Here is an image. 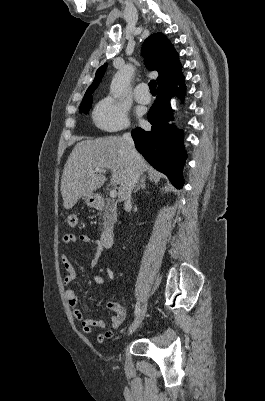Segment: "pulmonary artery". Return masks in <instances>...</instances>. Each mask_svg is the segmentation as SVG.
<instances>
[{
    "mask_svg": "<svg viewBox=\"0 0 265 401\" xmlns=\"http://www.w3.org/2000/svg\"><path fill=\"white\" fill-rule=\"evenodd\" d=\"M144 83L138 84L135 92V99L140 103L148 104L151 101V96L147 92V87L143 86Z\"/></svg>",
    "mask_w": 265,
    "mask_h": 401,
    "instance_id": "e3ab8cb5",
    "label": "pulmonary artery"
}]
</instances>
